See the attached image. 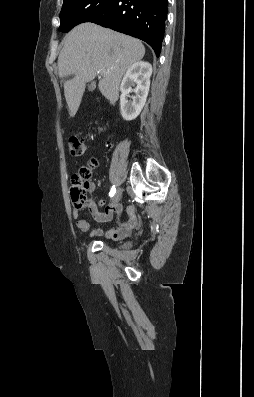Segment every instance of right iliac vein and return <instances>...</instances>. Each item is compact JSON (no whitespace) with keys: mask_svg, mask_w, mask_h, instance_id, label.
Segmentation results:
<instances>
[{"mask_svg":"<svg viewBox=\"0 0 254 397\" xmlns=\"http://www.w3.org/2000/svg\"><path fill=\"white\" fill-rule=\"evenodd\" d=\"M121 196H122V189L119 188V189L116 191V193L114 194V196H113L112 204L118 203V202L120 201V199H121Z\"/></svg>","mask_w":254,"mask_h":397,"instance_id":"obj_1","label":"right iliac vein"}]
</instances>
